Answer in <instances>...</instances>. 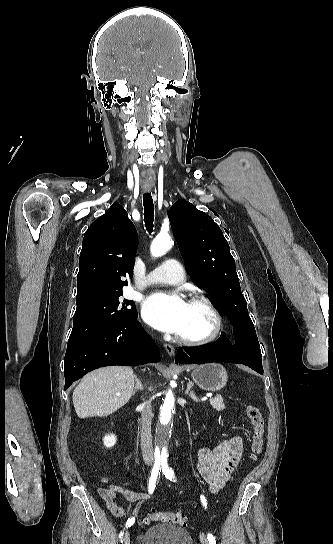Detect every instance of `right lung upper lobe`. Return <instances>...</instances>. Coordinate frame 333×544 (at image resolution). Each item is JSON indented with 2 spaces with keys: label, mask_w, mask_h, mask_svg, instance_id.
<instances>
[{
  "label": "right lung upper lobe",
  "mask_w": 333,
  "mask_h": 544,
  "mask_svg": "<svg viewBox=\"0 0 333 544\" xmlns=\"http://www.w3.org/2000/svg\"><path fill=\"white\" fill-rule=\"evenodd\" d=\"M137 232L125 209L115 202L86 231L79 258L77 297L122 290L132 277Z\"/></svg>",
  "instance_id": "1"
}]
</instances>
